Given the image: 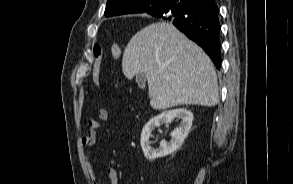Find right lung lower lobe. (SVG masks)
<instances>
[{"instance_id":"98d812e1","label":"right lung lower lobe","mask_w":293,"mask_h":184,"mask_svg":"<svg viewBox=\"0 0 293 184\" xmlns=\"http://www.w3.org/2000/svg\"><path fill=\"white\" fill-rule=\"evenodd\" d=\"M218 7L214 3L201 6L191 0H181L178 4L155 17L172 22L186 36L201 46L220 69V23Z\"/></svg>"}]
</instances>
